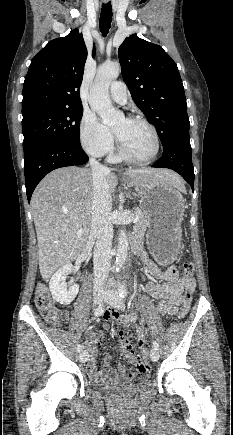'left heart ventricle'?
<instances>
[{"label":"left heart ventricle","instance_id":"left-heart-ventricle-1","mask_svg":"<svg viewBox=\"0 0 233 435\" xmlns=\"http://www.w3.org/2000/svg\"><path fill=\"white\" fill-rule=\"evenodd\" d=\"M112 130L130 156L143 160L153 153L154 140L146 125L121 118L112 126Z\"/></svg>","mask_w":233,"mask_h":435}]
</instances>
